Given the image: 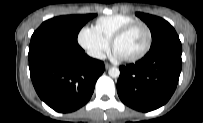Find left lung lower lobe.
<instances>
[{
	"label": "left lung lower lobe",
	"mask_w": 203,
	"mask_h": 123,
	"mask_svg": "<svg viewBox=\"0 0 203 123\" xmlns=\"http://www.w3.org/2000/svg\"><path fill=\"white\" fill-rule=\"evenodd\" d=\"M179 39L170 40L136 63L120 66L117 92L127 106L142 112L163 106L174 93L182 67Z\"/></svg>",
	"instance_id": "left-lung-lower-lobe-1"
}]
</instances>
